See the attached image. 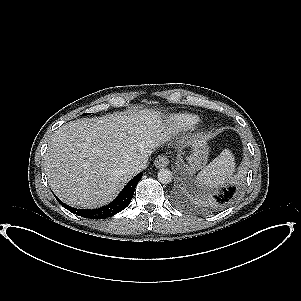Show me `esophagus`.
I'll return each instance as SVG.
<instances>
[{
    "instance_id": "esophagus-1",
    "label": "esophagus",
    "mask_w": 301,
    "mask_h": 301,
    "mask_svg": "<svg viewBox=\"0 0 301 301\" xmlns=\"http://www.w3.org/2000/svg\"><path fill=\"white\" fill-rule=\"evenodd\" d=\"M168 163H169V160L164 155H159L154 161L155 167H157L159 169L166 167L168 165Z\"/></svg>"
}]
</instances>
